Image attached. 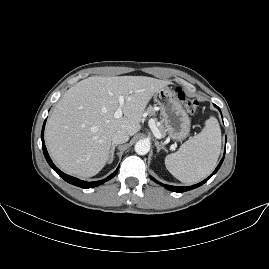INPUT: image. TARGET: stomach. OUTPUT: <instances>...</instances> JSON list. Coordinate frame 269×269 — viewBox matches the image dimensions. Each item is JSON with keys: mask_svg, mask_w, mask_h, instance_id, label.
Returning <instances> with one entry per match:
<instances>
[{"mask_svg": "<svg viewBox=\"0 0 269 269\" xmlns=\"http://www.w3.org/2000/svg\"><path fill=\"white\" fill-rule=\"evenodd\" d=\"M154 101L161 108L169 136L177 141L185 139L189 135L191 121L176 93L165 86L154 94Z\"/></svg>", "mask_w": 269, "mask_h": 269, "instance_id": "stomach-1", "label": "stomach"}]
</instances>
